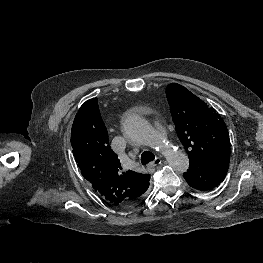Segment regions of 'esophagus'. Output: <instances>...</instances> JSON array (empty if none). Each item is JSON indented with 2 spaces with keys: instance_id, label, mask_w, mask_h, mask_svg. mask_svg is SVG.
<instances>
[{
  "instance_id": "obj_1",
  "label": "esophagus",
  "mask_w": 263,
  "mask_h": 263,
  "mask_svg": "<svg viewBox=\"0 0 263 263\" xmlns=\"http://www.w3.org/2000/svg\"><path fill=\"white\" fill-rule=\"evenodd\" d=\"M162 162V160L157 157L154 161H152L151 163L148 164L147 168L148 169H153L156 168L158 165H160Z\"/></svg>"
}]
</instances>
